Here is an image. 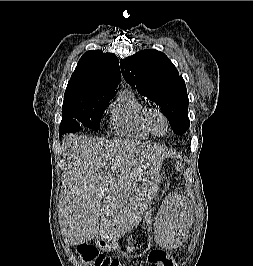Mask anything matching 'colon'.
Listing matches in <instances>:
<instances>
[{
	"instance_id": "obj_1",
	"label": "colon",
	"mask_w": 253,
	"mask_h": 266,
	"mask_svg": "<svg viewBox=\"0 0 253 266\" xmlns=\"http://www.w3.org/2000/svg\"><path fill=\"white\" fill-rule=\"evenodd\" d=\"M76 251L87 266H125L120 260L101 254L97 248L87 243H78ZM148 263L149 266H176L174 257L162 250L151 251Z\"/></svg>"
}]
</instances>
